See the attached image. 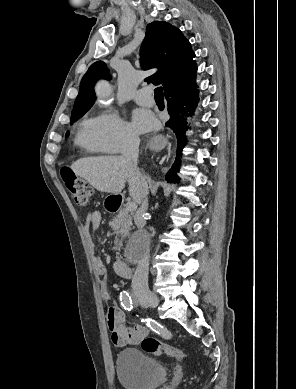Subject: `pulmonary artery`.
Masks as SVG:
<instances>
[{"label":"pulmonary artery","mask_w":296,"mask_h":389,"mask_svg":"<svg viewBox=\"0 0 296 389\" xmlns=\"http://www.w3.org/2000/svg\"><path fill=\"white\" fill-rule=\"evenodd\" d=\"M135 101L143 106H152L153 98L151 96V90L147 87L141 88L136 91L134 95Z\"/></svg>","instance_id":"obj_1"}]
</instances>
